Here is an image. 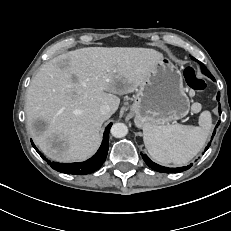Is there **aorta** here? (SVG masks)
I'll use <instances>...</instances> for the list:
<instances>
[{"label":"aorta","mask_w":231,"mask_h":231,"mask_svg":"<svg viewBox=\"0 0 231 231\" xmlns=\"http://www.w3.org/2000/svg\"><path fill=\"white\" fill-rule=\"evenodd\" d=\"M128 133V127L124 123H115L111 127V134L115 138H122Z\"/></svg>","instance_id":"obj_1"}]
</instances>
